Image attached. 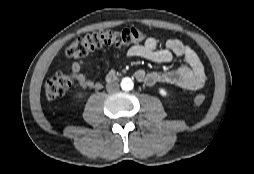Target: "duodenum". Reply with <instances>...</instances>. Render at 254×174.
I'll list each match as a JSON object with an SVG mask.
<instances>
[{
	"label": "duodenum",
	"mask_w": 254,
	"mask_h": 174,
	"mask_svg": "<svg viewBox=\"0 0 254 174\" xmlns=\"http://www.w3.org/2000/svg\"><path fill=\"white\" fill-rule=\"evenodd\" d=\"M115 80H116V74L114 72L109 73L106 77L107 82H113Z\"/></svg>",
	"instance_id": "1"
}]
</instances>
